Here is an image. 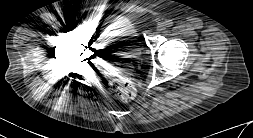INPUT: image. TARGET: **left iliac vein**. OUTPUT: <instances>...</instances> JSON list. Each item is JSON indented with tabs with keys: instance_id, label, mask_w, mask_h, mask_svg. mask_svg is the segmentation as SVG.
<instances>
[{
	"instance_id": "4c4485c4",
	"label": "left iliac vein",
	"mask_w": 253,
	"mask_h": 138,
	"mask_svg": "<svg viewBox=\"0 0 253 138\" xmlns=\"http://www.w3.org/2000/svg\"><path fill=\"white\" fill-rule=\"evenodd\" d=\"M165 28V26H164V24H160L159 26H158V29L161 31V30H163Z\"/></svg>"
}]
</instances>
